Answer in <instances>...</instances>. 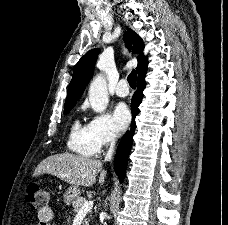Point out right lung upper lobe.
I'll list each match as a JSON object with an SVG mask.
<instances>
[{"instance_id":"cb5924a9","label":"right lung upper lobe","mask_w":228,"mask_h":225,"mask_svg":"<svg viewBox=\"0 0 228 225\" xmlns=\"http://www.w3.org/2000/svg\"><path fill=\"white\" fill-rule=\"evenodd\" d=\"M124 41L132 53L139 54L137 66L138 72L148 63L147 56L143 55L144 42L132 29H128L125 32ZM97 55L98 52L96 49H92L88 51L76 64L64 107L75 104L83 94L86 85L92 77Z\"/></svg>"}]
</instances>
